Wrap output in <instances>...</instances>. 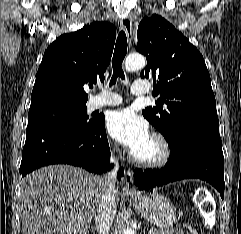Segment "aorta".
<instances>
[{
	"label": "aorta",
	"mask_w": 241,
	"mask_h": 234,
	"mask_svg": "<svg viewBox=\"0 0 241 234\" xmlns=\"http://www.w3.org/2000/svg\"><path fill=\"white\" fill-rule=\"evenodd\" d=\"M145 65V57L140 54H131L125 60V69L129 72L142 69ZM123 234H135V232L132 229H125Z\"/></svg>",
	"instance_id": "obj_1"
}]
</instances>
